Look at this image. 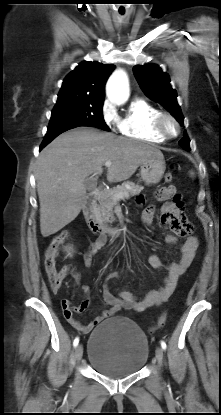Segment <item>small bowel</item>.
<instances>
[{"instance_id": "1", "label": "small bowel", "mask_w": 221, "mask_h": 415, "mask_svg": "<svg viewBox=\"0 0 221 415\" xmlns=\"http://www.w3.org/2000/svg\"><path fill=\"white\" fill-rule=\"evenodd\" d=\"M155 198L158 201H166L162 208V222L170 225V228L177 235H186L192 232V225L187 221V211L183 210V204L181 202L180 195L177 188L174 186H167L160 188ZM138 202L143 203L144 198L138 197ZM155 207L154 205H148L142 212V221L145 225H150L154 219ZM177 242L175 235H168L166 237V243L168 245H174ZM106 243V237L100 236L90 247L89 251L85 255V264L91 265L92 255L99 251ZM199 247V240L196 236H189L186 241L181 245L179 249V258L176 261L165 263L162 259L152 254L148 258L150 266L158 271L164 269L167 270V274L164 277L163 285L157 289L152 290L145 296L138 298L129 291H121L118 295H113L108 288V281L113 279H119L118 272L113 271L106 275L103 284V300L105 304L109 306L108 309L101 312L100 315L95 317L89 324L84 325L77 321L73 317V312L82 313L89 305L87 286H83L82 289L85 294V299L76 307H72L69 300L62 301L63 313L67 321L77 330L81 332H89L92 328L96 327L104 319L112 317L120 310H134L141 312L155 305H160L171 297L176 289L177 283L180 277L187 271L188 267L193 262L197 250Z\"/></svg>"}]
</instances>
